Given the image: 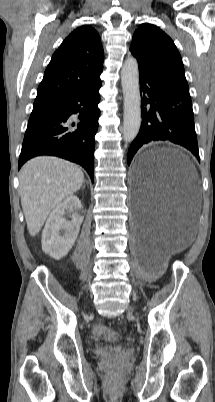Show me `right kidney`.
Returning <instances> with one entry per match:
<instances>
[{"mask_svg":"<svg viewBox=\"0 0 215 402\" xmlns=\"http://www.w3.org/2000/svg\"><path fill=\"white\" fill-rule=\"evenodd\" d=\"M81 201L71 195L59 203L51 212L42 233V250L56 260L67 255L79 234L84 215ZM65 214L71 216L68 221Z\"/></svg>","mask_w":215,"mask_h":402,"instance_id":"right-kidney-1","label":"right kidney"}]
</instances>
